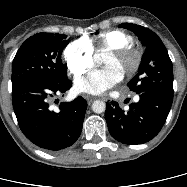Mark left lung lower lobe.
Masks as SVG:
<instances>
[{
	"label": "left lung lower lobe",
	"instance_id": "1",
	"mask_svg": "<svg viewBox=\"0 0 187 187\" xmlns=\"http://www.w3.org/2000/svg\"><path fill=\"white\" fill-rule=\"evenodd\" d=\"M139 101L124 111L115 101L107 103L105 119L108 130L117 141L137 145L153 139L169 114L173 94L159 91L137 93Z\"/></svg>",
	"mask_w": 187,
	"mask_h": 187
}]
</instances>
